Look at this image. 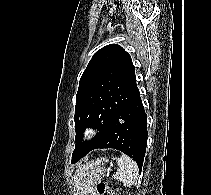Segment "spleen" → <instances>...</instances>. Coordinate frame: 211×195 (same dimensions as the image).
<instances>
[{
    "instance_id": "3e777b00",
    "label": "spleen",
    "mask_w": 211,
    "mask_h": 195,
    "mask_svg": "<svg viewBox=\"0 0 211 195\" xmlns=\"http://www.w3.org/2000/svg\"><path fill=\"white\" fill-rule=\"evenodd\" d=\"M118 172L114 175V179L123 182L125 186H131L135 183L139 175L137 163L127 155L117 158Z\"/></svg>"
}]
</instances>
